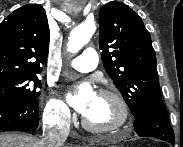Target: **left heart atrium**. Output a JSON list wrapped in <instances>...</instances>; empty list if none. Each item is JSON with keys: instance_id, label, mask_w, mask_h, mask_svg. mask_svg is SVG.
<instances>
[{"instance_id": "1", "label": "left heart atrium", "mask_w": 183, "mask_h": 147, "mask_svg": "<svg viewBox=\"0 0 183 147\" xmlns=\"http://www.w3.org/2000/svg\"><path fill=\"white\" fill-rule=\"evenodd\" d=\"M96 92L90 82H84L67 91L70 104L81 114H85L96 97Z\"/></svg>"}]
</instances>
